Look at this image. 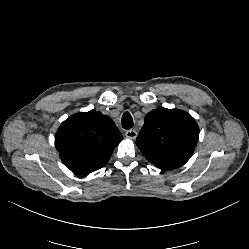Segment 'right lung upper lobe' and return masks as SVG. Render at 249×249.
Segmentation results:
<instances>
[{
  "label": "right lung upper lobe",
  "instance_id": "cb5924a9",
  "mask_svg": "<svg viewBox=\"0 0 249 249\" xmlns=\"http://www.w3.org/2000/svg\"><path fill=\"white\" fill-rule=\"evenodd\" d=\"M122 139L111 118L91 110L66 119L56 133L55 146L70 170L89 174L109 161Z\"/></svg>",
  "mask_w": 249,
  "mask_h": 249
}]
</instances>
